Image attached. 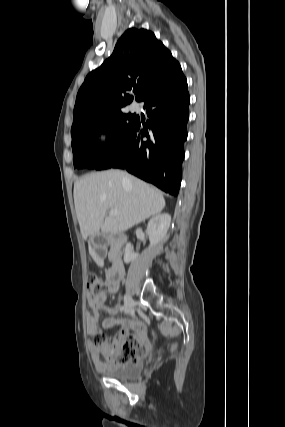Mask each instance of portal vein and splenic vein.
<instances>
[{
  "instance_id": "portal-vein-and-splenic-vein-1",
  "label": "portal vein and splenic vein",
  "mask_w": 285,
  "mask_h": 427,
  "mask_svg": "<svg viewBox=\"0 0 285 427\" xmlns=\"http://www.w3.org/2000/svg\"><path fill=\"white\" fill-rule=\"evenodd\" d=\"M117 215H118V211L117 210L111 209L109 211V216L114 217V216H117Z\"/></svg>"
}]
</instances>
